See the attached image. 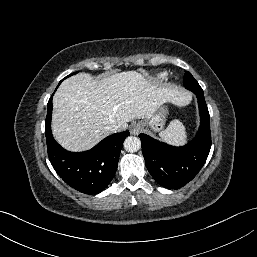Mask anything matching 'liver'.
I'll return each mask as SVG.
<instances>
[{
    "instance_id": "6515ba94",
    "label": "liver",
    "mask_w": 257,
    "mask_h": 257,
    "mask_svg": "<svg viewBox=\"0 0 257 257\" xmlns=\"http://www.w3.org/2000/svg\"><path fill=\"white\" fill-rule=\"evenodd\" d=\"M186 99L184 91L158 87L136 71L99 81L79 73L63 81L53 97L52 132L65 149L84 151L109 135L107 125L124 130L133 119H150L164 103L181 105Z\"/></svg>"
}]
</instances>
